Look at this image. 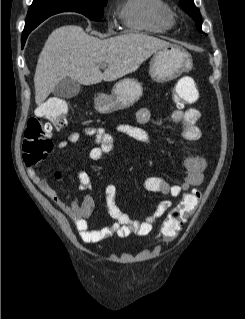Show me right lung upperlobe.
<instances>
[{"instance_id":"1","label":"right lung upper lobe","mask_w":245,"mask_h":319,"mask_svg":"<svg viewBox=\"0 0 245 319\" xmlns=\"http://www.w3.org/2000/svg\"><path fill=\"white\" fill-rule=\"evenodd\" d=\"M68 0H33L28 10L24 31H32L46 18L60 12H65L67 8L63 2Z\"/></svg>"}]
</instances>
